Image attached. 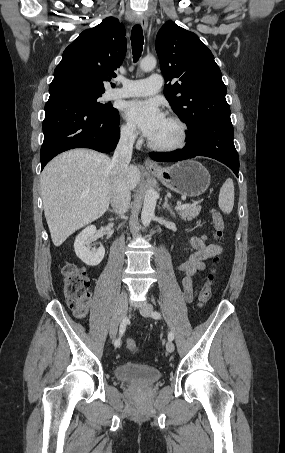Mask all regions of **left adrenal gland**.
<instances>
[{
	"label": "left adrenal gland",
	"mask_w": 285,
	"mask_h": 453,
	"mask_svg": "<svg viewBox=\"0 0 285 453\" xmlns=\"http://www.w3.org/2000/svg\"><path fill=\"white\" fill-rule=\"evenodd\" d=\"M163 209H166L170 212L171 216L175 217V213L172 209V207L168 204V199L167 197H165V202L164 204L162 205Z\"/></svg>",
	"instance_id": "1"
}]
</instances>
